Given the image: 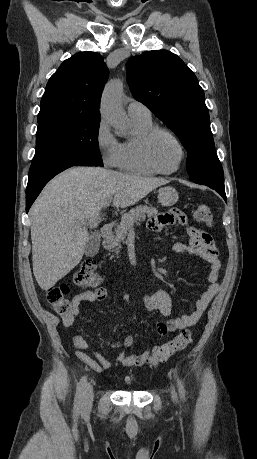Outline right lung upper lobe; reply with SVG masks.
Returning <instances> with one entry per match:
<instances>
[{
    "mask_svg": "<svg viewBox=\"0 0 257 459\" xmlns=\"http://www.w3.org/2000/svg\"><path fill=\"white\" fill-rule=\"evenodd\" d=\"M108 76V68L100 54L73 55L49 79L39 113L62 111L100 118L98 105Z\"/></svg>",
    "mask_w": 257,
    "mask_h": 459,
    "instance_id": "cb5924a9",
    "label": "right lung upper lobe"
}]
</instances>
